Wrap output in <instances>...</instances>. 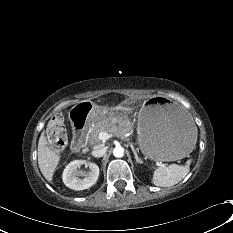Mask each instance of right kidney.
I'll use <instances>...</instances> for the list:
<instances>
[{
  "instance_id": "obj_1",
  "label": "right kidney",
  "mask_w": 233,
  "mask_h": 233,
  "mask_svg": "<svg viewBox=\"0 0 233 233\" xmlns=\"http://www.w3.org/2000/svg\"><path fill=\"white\" fill-rule=\"evenodd\" d=\"M85 164L89 167V171L84 173L79 171L80 165ZM83 177V178H79ZM99 176V167L95 163L85 162L83 160H74L70 162L63 172L64 184L73 190H84L94 185Z\"/></svg>"
}]
</instances>
